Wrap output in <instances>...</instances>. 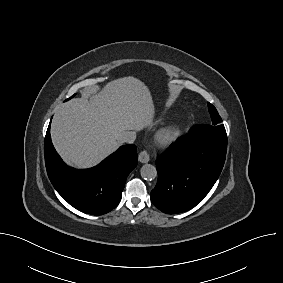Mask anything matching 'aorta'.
I'll return each mask as SVG.
<instances>
[{
	"mask_svg": "<svg viewBox=\"0 0 283 283\" xmlns=\"http://www.w3.org/2000/svg\"><path fill=\"white\" fill-rule=\"evenodd\" d=\"M141 177L145 180H153L157 176L156 167L151 164H145L140 169Z\"/></svg>",
	"mask_w": 283,
	"mask_h": 283,
	"instance_id": "aorta-1",
	"label": "aorta"
}]
</instances>
